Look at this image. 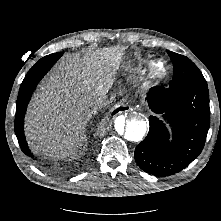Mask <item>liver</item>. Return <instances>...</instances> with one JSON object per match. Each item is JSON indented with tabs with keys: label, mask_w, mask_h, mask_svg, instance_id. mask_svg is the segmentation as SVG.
<instances>
[{
	"label": "liver",
	"mask_w": 221,
	"mask_h": 221,
	"mask_svg": "<svg viewBox=\"0 0 221 221\" xmlns=\"http://www.w3.org/2000/svg\"><path fill=\"white\" fill-rule=\"evenodd\" d=\"M125 47L66 55L42 81L26 116V139L34 153L51 158L75 154L93 103L105 97L123 66Z\"/></svg>",
	"instance_id": "1"
}]
</instances>
